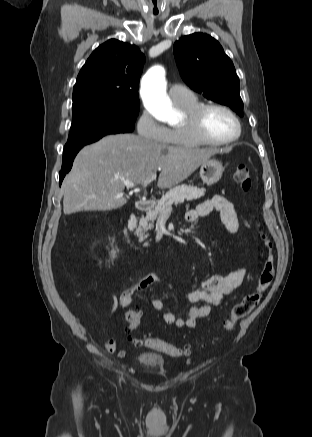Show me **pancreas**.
Listing matches in <instances>:
<instances>
[{
	"mask_svg": "<svg viewBox=\"0 0 312 437\" xmlns=\"http://www.w3.org/2000/svg\"><path fill=\"white\" fill-rule=\"evenodd\" d=\"M205 194L204 188H197L191 185H179L170 189L156 204L147 211L146 216L142 217L137 228L138 237L141 241L147 238V231L153 229L154 221L172 205L183 203L184 200H196ZM146 233V234H145Z\"/></svg>",
	"mask_w": 312,
	"mask_h": 437,
	"instance_id": "pancreas-1",
	"label": "pancreas"
}]
</instances>
